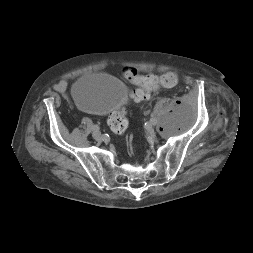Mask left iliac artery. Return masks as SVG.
<instances>
[{
    "label": "left iliac artery",
    "mask_w": 253,
    "mask_h": 253,
    "mask_svg": "<svg viewBox=\"0 0 253 253\" xmlns=\"http://www.w3.org/2000/svg\"><path fill=\"white\" fill-rule=\"evenodd\" d=\"M150 123L152 124V125H156L157 124V121L155 120V119H151V121H150Z\"/></svg>",
    "instance_id": "44dca946"
}]
</instances>
